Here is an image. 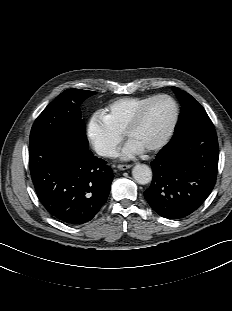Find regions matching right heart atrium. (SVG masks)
Returning a JSON list of instances; mask_svg holds the SVG:
<instances>
[{
	"instance_id": "obj_1",
	"label": "right heart atrium",
	"mask_w": 232,
	"mask_h": 311,
	"mask_svg": "<svg viewBox=\"0 0 232 311\" xmlns=\"http://www.w3.org/2000/svg\"><path fill=\"white\" fill-rule=\"evenodd\" d=\"M86 135L94 150L102 157L113 156L122 140L121 134L114 131L98 112L89 119Z\"/></svg>"
}]
</instances>
